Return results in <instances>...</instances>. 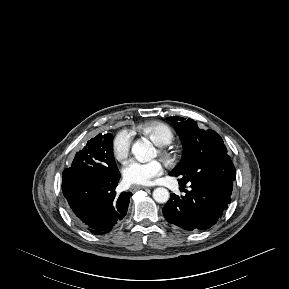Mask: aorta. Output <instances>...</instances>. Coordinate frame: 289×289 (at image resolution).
<instances>
[{"label": "aorta", "mask_w": 289, "mask_h": 289, "mask_svg": "<svg viewBox=\"0 0 289 289\" xmlns=\"http://www.w3.org/2000/svg\"><path fill=\"white\" fill-rule=\"evenodd\" d=\"M132 153L137 158L150 160L153 158L154 148L149 141H137L132 146ZM169 197V191L166 188L158 187L153 191V198L158 203H166Z\"/></svg>", "instance_id": "762f6f07"}]
</instances>
